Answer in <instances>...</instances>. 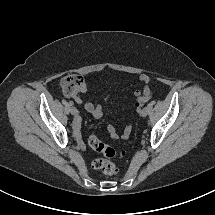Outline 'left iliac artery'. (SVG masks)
<instances>
[{
	"instance_id": "obj_1",
	"label": "left iliac artery",
	"mask_w": 215,
	"mask_h": 215,
	"mask_svg": "<svg viewBox=\"0 0 215 215\" xmlns=\"http://www.w3.org/2000/svg\"><path fill=\"white\" fill-rule=\"evenodd\" d=\"M142 111H143V110H142L141 108H137V109H136V112H137V113H141Z\"/></svg>"
}]
</instances>
